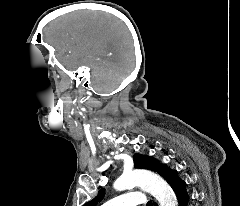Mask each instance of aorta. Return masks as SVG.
Instances as JSON below:
<instances>
[{
	"label": "aorta",
	"instance_id": "aorta-1",
	"mask_svg": "<svg viewBox=\"0 0 240 206\" xmlns=\"http://www.w3.org/2000/svg\"><path fill=\"white\" fill-rule=\"evenodd\" d=\"M135 186H141L152 194L160 206H177V199L171 188L160 176L146 170L124 172L115 182L114 189L123 191Z\"/></svg>",
	"mask_w": 240,
	"mask_h": 206
}]
</instances>
